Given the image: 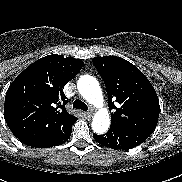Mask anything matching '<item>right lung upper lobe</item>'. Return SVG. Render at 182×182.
Returning a JSON list of instances; mask_svg holds the SVG:
<instances>
[{
    "label": "right lung upper lobe",
    "instance_id": "cb5924a9",
    "mask_svg": "<svg viewBox=\"0 0 182 182\" xmlns=\"http://www.w3.org/2000/svg\"><path fill=\"white\" fill-rule=\"evenodd\" d=\"M84 63L73 57L48 55L32 63L9 86L4 118L24 144L52 136L71 127L78 118L69 114L63 93L66 83Z\"/></svg>",
    "mask_w": 182,
    "mask_h": 182
}]
</instances>
